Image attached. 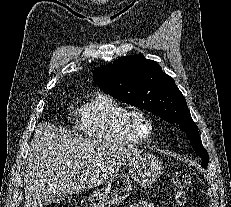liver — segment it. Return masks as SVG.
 <instances>
[{
	"instance_id": "obj_1",
	"label": "liver",
	"mask_w": 231,
	"mask_h": 207,
	"mask_svg": "<svg viewBox=\"0 0 231 207\" xmlns=\"http://www.w3.org/2000/svg\"><path fill=\"white\" fill-rule=\"evenodd\" d=\"M140 151L101 139H84L40 123L24 171V207H42L50 195L77 194L103 184Z\"/></svg>"
}]
</instances>
